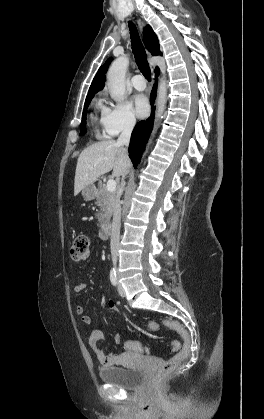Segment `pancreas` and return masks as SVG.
Segmentation results:
<instances>
[{
	"instance_id": "1",
	"label": "pancreas",
	"mask_w": 264,
	"mask_h": 419,
	"mask_svg": "<svg viewBox=\"0 0 264 419\" xmlns=\"http://www.w3.org/2000/svg\"><path fill=\"white\" fill-rule=\"evenodd\" d=\"M117 199L118 195L116 192H109L104 184L100 185L97 197V205L100 208V212L97 214V219L101 227L110 222Z\"/></svg>"
}]
</instances>
